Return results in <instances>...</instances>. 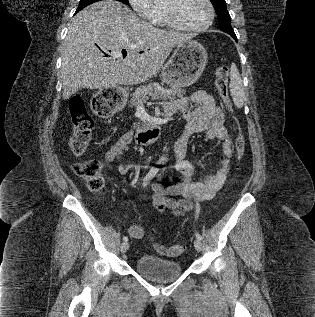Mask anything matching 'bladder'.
Listing matches in <instances>:
<instances>
[{"label":"bladder","mask_w":315,"mask_h":317,"mask_svg":"<svg viewBox=\"0 0 315 317\" xmlns=\"http://www.w3.org/2000/svg\"><path fill=\"white\" fill-rule=\"evenodd\" d=\"M134 267L138 273L156 282L173 280L182 273V267L179 262L148 254L137 258Z\"/></svg>","instance_id":"31cf9c89"}]
</instances>
